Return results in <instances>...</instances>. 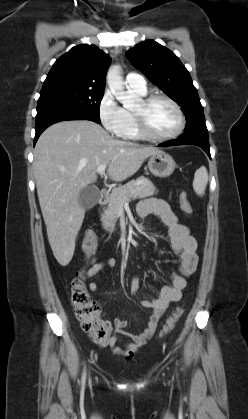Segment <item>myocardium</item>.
I'll list each match as a JSON object with an SVG mask.
<instances>
[{
	"label": "myocardium",
	"instance_id": "obj_1",
	"mask_svg": "<svg viewBox=\"0 0 248 419\" xmlns=\"http://www.w3.org/2000/svg\"><path fill=\"white\" fill-rule=\"evenodd\" d=\"M157 100H164L167 103H169L175 109L178 115L179 124L177 128L175 129V131H173L172 133L168 135H164V136L155 135L149 130V127H148V123L145 117V108ZM140 102L142 104V108L140 110H134L133 115L135 118L138 132L143 138L151 140V141H156V142H165V141L173 140L183 133L186 126V118H185V115L181 106L174 99H172L171 97L165 94H152V95L143 97Z\"/></svg>",
	"mask_w": 248,
	"mask_h": 419
}]
</instances>
